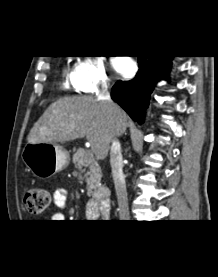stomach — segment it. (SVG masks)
I'll use <instances>...</instances> for the list:
<instances>
[{"instance_id":"stomach-1","label":"stomach","mask_w":218,"mask_h":277,"mask_svg":"<svg viewBox=\"0 0 218 277\" xmlns=\"http://www.w3.org/2000/svg\"><path fill=\"white\" fill-rule=\"evenodd\" d=\"M23 162L37 177H50L66 168L70 157L57 143H28L21 154Z\"/></svg>"}]
</instances>
